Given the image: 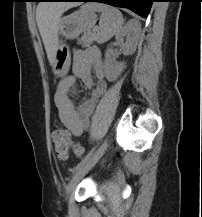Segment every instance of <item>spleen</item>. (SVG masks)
Wrapping results in <instances>:
<instances>
[{
    "label": "spleen",
    "mask_w": 202,
    "mask_h": 217,
    "mask_svg": "<svg viewBox=\"0 0 202 217\" xmlns=\"http://www.w3.org/2000/svg\"><path fill=\"white\" fill-rule=\"evenodd\" d=\"M84 8L101 12L100 28L97 34L98 43L106 42L121 31L124 20L118 9L101 3L86 4Z\"/></svg>",
    "instance_id": "3e777b00"
}]
</instances>
